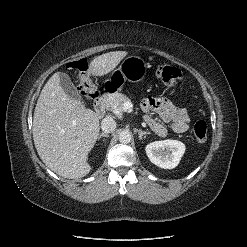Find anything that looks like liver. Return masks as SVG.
Segmentation results:
<instances>
[{
    "label": "liver",
    "mask_w": 247,
    "mask_h": 247,
    "mask_svg": "<svg viewBox=\"0 0 247 247\" xmlns=\"http://www.w3.org/2000/svg\"><path fill=\"white\" fill-rule=\"evenodd\" d=\"M126 55V51L102 54L91 61L89 71L94 76L106 75ZM59 82L55 73L40 93L33 117V140L49 169L64 178L77 179L91 170L88 154L99 136V117L69 97Z\"/></svg>",
    "instance_id": "liver-1"
}]
</instances>
